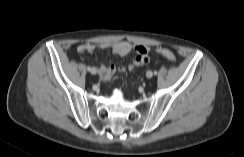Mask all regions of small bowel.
Segmentation results:
<instances>
[{"label":"small bowel","instance_id":"c3829d8e","mask_svg":"<svg viewBox=\"0 0 244 157\" xmlns=\"http://www.w3.org/2000/svg\"><path fill=\"white\" fill-rule=\"evenodd\" d=\"M102 49V50H110L115 54H118L120 56L128 55L130 52H138L140 50H144L148 53L149 49L138 44H131L127 41H119L114 43L104 42L99 44H93V43H85L81 44L77 47V51L81 54L85 53H91L95 49ZM143 63H138L135 59L131 64H129L127 67L120 66L116 67L114 65L106 66L102 63L98 65V74L101 77L103 81L109 80L112 76H114L117 72L123 73L126 71H130L133 68L142 65Z\"/></svg>","mask_w":244,"mask_h":157}]
</instances>
